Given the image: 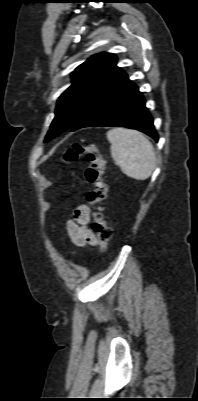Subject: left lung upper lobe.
Segmentation results:
<instances>
[{"instance_id": "1", "label": "left lung upper lobe", "mask_w": 198, "mask_h": 401, "mask_svg": "<svg viewBox=\"0 0 198 401\" xmlns=\"http://www.w3.org/2000/svg\"><path fill=\"white\" fill-rule=\"evenodd\" d=\"M121 69L114 54H96L72 73V85L59 97L55 118L44 142L70 129L90 102Z\"/></svg>"}]
</instances>
